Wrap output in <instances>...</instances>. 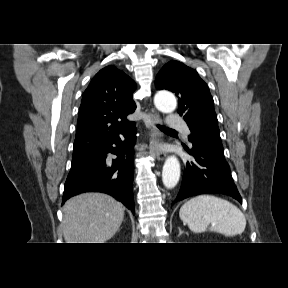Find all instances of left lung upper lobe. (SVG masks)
Instances as JSON below:
<instances>
[{
	"mask_svg": "<svg viewBox=\"0 0 288 288\" xmlns=\"http://www.w3.org/2000/svg\"><path fill=\"white\" fill-rule=\"evenodd\" d=\"M155 85L159 90H170L178 96V113L191 131L190 142L200 141L224 153L213 98L196 70L172 60L160 70Z\"/></svg>",
	"mask_w": 288,
	"mask_h": 288,
	"instance_id": "obj_1",
	"label": "left lung upper lobe"
}]
</instances>
